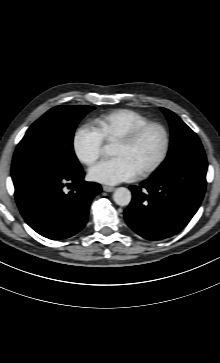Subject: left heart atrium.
Returning a JSON list of instances; mask_svg holds the SVG:
<instances>
[{"mask_svg":"<svg viewBox=\"0 0 220 363\" xmlns=\"http://www.w3.org/2000/svg\"><path fill=\"white\" fill-rule=\"evenodd\" d=\"M137 174L138 172L131 163L121 156L102 160L89 171V176L92 180L105 184L129 181L134 179Z\"/></svg>","mask_w":220,"mask_h":363,"instance_id":"1","label":"left heart atrium"}]
</instances>
